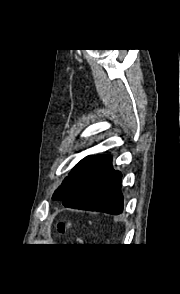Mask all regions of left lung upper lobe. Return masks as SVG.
Here are the masks:
<instances>
[{"mask_svg":"<svg viewBox=\"0 0 180 294\" xmlns=\"http://www.w3.org/2000/svg\"><path fill=\"white\" fill-rule=\"evenodd\" d=\"M94 158V156H88L81 160L69 173L68 177L64 179L61 186L54 192L52 199L62 200L69 190L71 189L74 181L77 177L82 173V171L86 168L89 162Z\"/></svg>","mask_w":180,"mask_h":294,"instance_id":"left-lung-upper-lobe-1","label":"left lung upper lobe"}]
</instances>
